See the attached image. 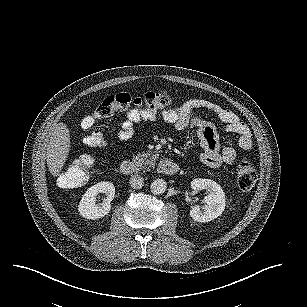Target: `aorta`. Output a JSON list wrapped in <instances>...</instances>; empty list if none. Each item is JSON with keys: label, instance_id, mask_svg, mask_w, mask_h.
I'll return each mask as SVG.
<instances>
[{"label": "aorta", "instance_id": "obj_1", "mask_svg": "<svg viewBox=\"0 0 307 307\" xmlns=\"http://www.w3.org/2000/svg\"><path fill=\"white\" fill-rule=\"evenodd\" d=\"M167 182L163 178H156L151 183V192L156 195H161L167 190Z\"/></svg>", "mask_w": 307, "mask_h": 307}]
</instances>
